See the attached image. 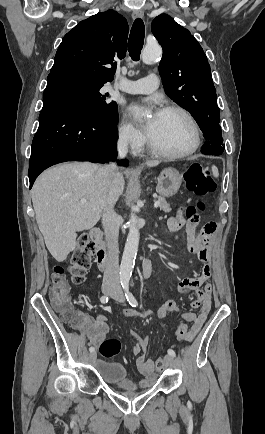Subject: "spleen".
<instances>
[{"mask_svg":"<svg viewBox=\"0 0 265 434\" xmlns=\"http://www.w3.org/2000/svg\"><path fill=\"white\" fill-rule=\"evenodd\" d=\"M212 172H213L214 178H218L219 172H218V168H216V166H212Z\"/></svg>","mask_w":265,"mask_h":434,"instance_id":"1","label":"spleen"}]
</instances>
